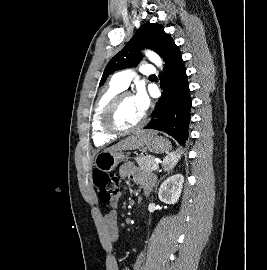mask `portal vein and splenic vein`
Returning a JSON list of instances; mask_svg holds the SVG:
<instances>
[{
  "instance_id": "obj_1",
  "label": "portal vein and splenic vein",
  "mask_w": 267,
  "mask_h": 270,
  "mask_svg": "<svg viewBox=\"0 0 267 270\" xmlns=\"http://www.w3.org/2000/svg\"><path fill=\"white\" fill-rule=\"evenodd\" d=\"M155 168H157V169H158V163H156Z\"/></svg>"
}]
</instances>
